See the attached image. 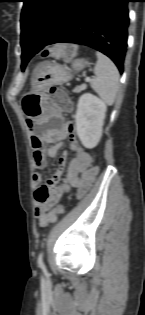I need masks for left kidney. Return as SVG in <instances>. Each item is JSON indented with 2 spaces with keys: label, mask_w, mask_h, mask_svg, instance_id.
I'll list each match as a JSON object with an SVG mask.
<instances>
[{
  "label": "left kidney",
  "mask_w": 145,
  "mask_h": 315,
  "mask_svg": "<svg viewBox=\"0 0 145 315\" xmlns=\"http://www.w3.org/2000/svg\"><path fill=\"white\" fill-rule=\"evenodd\" d=\"M106 104L91 93L83 94L78 101L75 115L77 135L84 147L97 146L101 136Z\"/></svg>",
  "instance_id": "obj_1"
}]
</instances>
